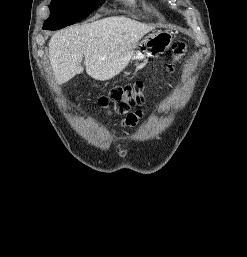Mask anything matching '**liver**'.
Here are the masks:
<instances>
[{"label":"liver","instance_id":"1","mask_svg":"<svg viewBox=\"0 0 247 257\" xmlns=\"http://www.w3.org/2000/svg\"><path fill=\"white\" fill-rule=\"evenodd\" d=\"M154 28L123 16L103 18L55 33L49 58L59 85L83 72L99 81L118 75L129 63L138 41Z\"/></svg>","mask_w":247,"mask_h":257}]
</instances>
